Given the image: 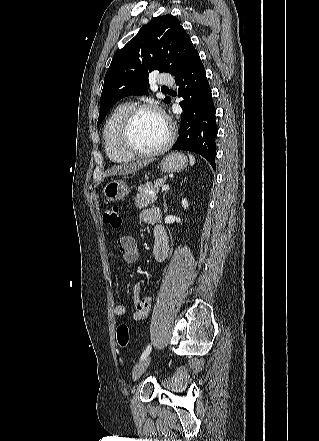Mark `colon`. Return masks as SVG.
Masks as SVG:
<instances>
[{"mask_svg":"<svg viewBox=\"0 0 319 441\" xmlns=\"http://www.w3.org/2000/svg\"><path fill=\"white\" fill-rule=\"evenodd\" d=\"M103 220L111 228L119 229L122 226L120 208L116 205L106 208L103 212ZM117 342L120 347H126L129 343V330L124 324L117 327Z\"/></svg>","mask_w":319,"mask_h":441,"instance_id":"colon-1","label":"colon"}]
</instances>
